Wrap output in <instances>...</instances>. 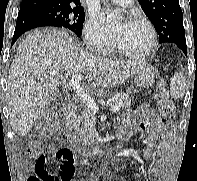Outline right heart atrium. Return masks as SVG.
<instances>
[{
    "label": "right heart atrium",
    "instance_id": "obj_1",
    "mask_svg": "<svg viewBox=\"0 0 197 181\" xmlns=\"http://www.w3.org/2000/svg\"><path fill=\"white\" fill-rule=\"evenodd\" d=\"M83 35L87 45L96 52L109 50L113 42L112 35L94 13H91L85 22Z\"/></svg>",
    "mask_w": 197,
    "mask_h": 181
}]
</instances>
